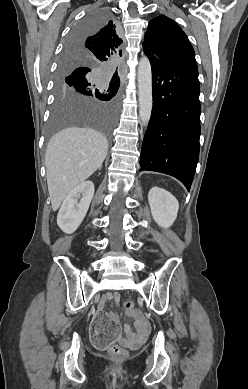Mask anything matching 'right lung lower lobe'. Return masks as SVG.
Returning a JSON list of instances; mask_svg holds the SVG:
<instances>
[{
  "label": "right lung lower lobe",
  "mask_w": 248,
  "mask_h": 389,
  "mask_svg": "<svg viewBox=\"0 0 248 389\" xmlns=\"http://www.w3.org/2000/svg\"><path fill=\"white\" fill-rule=\"evenodd\" d=\"M82 40V38L80 39H76L74 40L73 42L74 43H79L80 41ZM65 54L67 55H71L72 54V51L71 50H65L64 51ZM71 58V57H68V59ZM67 61V60H66ZM81 73H88L87 71H84L82 68L80 70H75L73 71L71 74H70V77H76L77 75L81 74ZM119 84H120V81H117Z\"/></svg>",
  "instance_id": "right-lung-lower-lobe-1"
}]
</instances>
